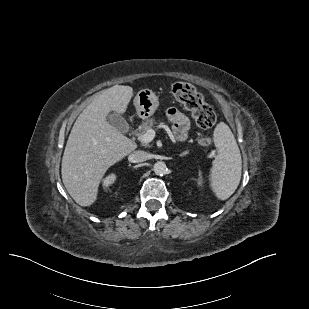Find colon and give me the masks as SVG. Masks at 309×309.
I'll list each match as a JSON object with an SVG mask.
<instances>
[{
    "instance_id": "obj_1",
    "label": "colon",
    "mask_w": 309,
    "mask_h": 309,
    "mask_svg": "<svg viewBox=\"0 0 309 309\" xmlns=\"http://www.w3.org/2000/svg\"><path fill=\"white\" fill-rule=\"evenodd\" d=\"M174 98L191 112L196 124L202 129H210L216 123V114L212 107L207 104L204 97L196 88L185 82L174 83L171 87ZM211 140L203 137L199 140L202 146L210 145Z\"/></svg>"
}]
</instances>
